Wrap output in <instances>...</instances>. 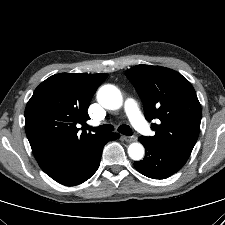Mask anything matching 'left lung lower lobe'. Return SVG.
I'll use <instances>...</instances> for the list:
<instances>
[{
  "instance_id": "1",
  "label": "left lung lower lobe",
  "mask_w": 225,
  "mask_h": 225,
  "mask_svg": "<svg viewBox=\"0 0 225 225\" xmlns=\"http://www.w3.org/2000/svg\"><path fill=\"white\" fill-rule=\"evenodd\" d=\"M139 141L146 149L143 160L134 162L135 168L143 175L152 179H165L178 172L186 163L187 159L151 143L144 138Z\"/></svg>"
}]
</instances>
